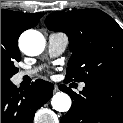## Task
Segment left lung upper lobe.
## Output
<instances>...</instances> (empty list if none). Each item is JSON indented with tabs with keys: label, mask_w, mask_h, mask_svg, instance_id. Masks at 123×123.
<instances>
[{
	"label": "left lung upper lobe",
	"mask_w": 123,
	"mask_h": 123,
	"mask_svg": "<svg viewBox=\"0 0 123 123\" xmlns=\"http://www.w3.org/2000/svg\"><path fill=\"white\" fill-rule=\"evenodd\" d=\"M45 23L69 37L67 81L123 82V30L109 15L97 9L57 12Z\"/></svg>",
	"instance_id": "5c2ea615"
}]
</instances>
